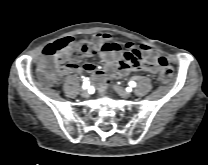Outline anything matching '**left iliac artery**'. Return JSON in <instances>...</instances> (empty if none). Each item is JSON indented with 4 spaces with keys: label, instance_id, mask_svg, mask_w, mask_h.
<instances>
[{
    "label": "left iliac artery",
    "instance_id": "left-iliac-artery-1",
    "mask_svg": "<svg viewBox=\"0 0 208 165\" xmlns=\"http://www.w3.org/2000/svg\"><path fill=\"white\" fill-rule=\"evenodd\" d=\"M129 85H130L131 87H135V86H136V83H135L134 81H131V82L129 83Z\"/></svg>",
    "mask_w": 208,
    "mask_h": 165
}]
</instances>
